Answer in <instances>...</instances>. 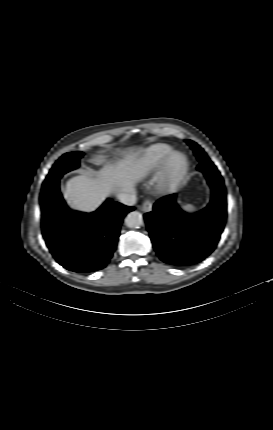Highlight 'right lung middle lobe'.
I'll return each instance as SVG.
<instances>
[{"mask_svg": "<svg viewBox=\"0 0 273 430\" xmlns=\"http://www.w3.org/2000/svg\"><path fill=\"white\" fill-rule=\"evenodd\" d=\"M83 156L82 152H70L64 154L59 160L53 165L48 176L46 177L43 187L48 186L54 182H57L63 174L76 169L79 166V160Z\"/></svg>", "mask_w": 273, "mask_h": 430, "instance_id": "dd1d6c3e", "label": "right lung middle lobe"}]
</instances>
